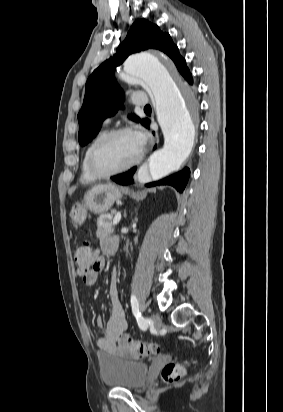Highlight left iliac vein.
<instances>
[{
    "mask_svg": "<svg viewBox=\"0 0 283 412\" xmlns=\"http://www.w3.org/2000/svg\"><path fill=\"white\" fill-rule=\"evenodd\" d=\"M151 320L153 321L154 327L156 329H160L162 322L160 316L157 313H152Z\"/></svg>",
    "mask_w": 283,
    "mask_h": 412,
    "instance_id": "1",
    "label": "left iliac vein"
}]
</instances>
